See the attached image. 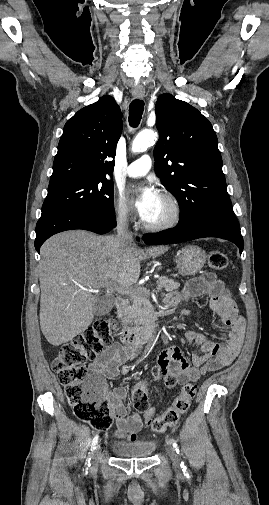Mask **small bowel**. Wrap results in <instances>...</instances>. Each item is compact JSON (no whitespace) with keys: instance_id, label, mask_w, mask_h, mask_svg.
<instances>
[{"instance_id":"1","label":"small bowel","mask_w":269,"mask_h":505,"mask_svg":"<svg viewBox=\"0 0 269 505\" xmlns=\"http://www.w3.org/2000/svg\"><path fill=\"white\" fill-rule=\"evenodd\" d=\"M201 296L210 298L211 309L229 328L225 341L219 344L201 332L189 331L187 339L200 347V353H193L189 360L177 346L164 349L158 355L153 368L155 377L164 379L169 377L175 381V384L184 385L200 376L230 365L238 355L245 332V319L239 314L237 305L224 282L219 280L214 273L208 272L191 280L181 292L169 294L165 302L169 306H174L186 298ZM136 354L137 348L114 343L90 363L89 369L92 373L99 375L103 381L114 380L118 376L120 366ZM105 397L115 418V436L136 441L143 423L138 413L127 415L123 403L127 398L126 388L105 389Z\"/></svg>"}]
</instances>
